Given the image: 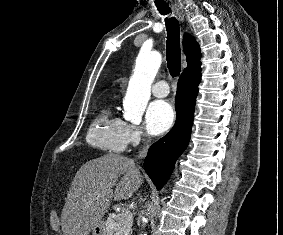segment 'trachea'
<instances>
[{
    "label": "trachea",
    "mask_w": 283,
    "mask_h": 235,
    "mask_svg": "<svg viewBox=\"0 0 283 235\" xmlns=\"http://www.w3.org/2000/svg\"><path fill=\"white\" fill-rule=\"evenodd\" d=\"M157 9L162 15L169 14L171 9L165 2L156 3ZM167 41L166 58L167 65L172 77H176L181 71V50H180V27L175 17L165 18Z\"/></svg>",
    "instance_id": "obj_1"
}]
</instances>
